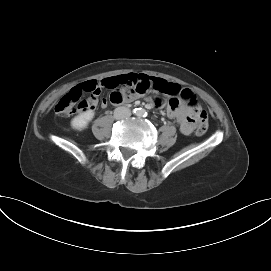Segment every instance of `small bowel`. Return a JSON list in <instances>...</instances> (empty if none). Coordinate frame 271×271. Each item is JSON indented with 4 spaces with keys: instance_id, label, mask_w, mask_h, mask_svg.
I'll return each mask as SVG.
<instances>
[{
    "instance_id": "c3829d8e",
    "label": "small bowel",
    "mask_w": 271,
    "mask_h": 271,
    "mask_svg": "<svg viewBox=\"0 0 271 271\" xmlns=\"http://www.w3.org/2000/svg\"><path fill=\"white\" fill-rule=\"evenodd\" d=\"M88 84L94 85L97 92L87 99V106L80 108L78 111L94 108L98 104V94L101 88L112 90L110 100L113 103L130 102L137 97H147L148 91L173 95L179 90L178 85L175 83L142 73H125L102 80H90L82 83L79 87L86 89ZM183 93L192 95L187 89L183 90L181 95ZM150 101L158 106L162 104L158 99ZM105 105L106 102H102V106ZM166 111L170 118L177 119L180 131L184 135H189L195 128V116L201 111V107L197 103L196 105H190L187 102H180L177 97H169L166 100Z\"/></svg>"
}]
</instances>
